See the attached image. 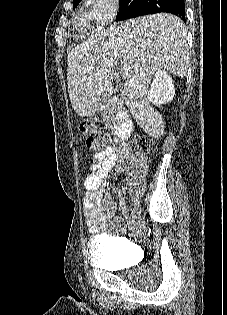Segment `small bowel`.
I'll list each match as a JSON object with an SVG mask.
<instances>
[{
  "instance_id": "obj_1",
  "label": "small bowel",
  "mask_w": 227,
  "mask_h": 315,
  "mask_svg": "<svg viewBox=\"0 0 227 315\" xmlns=\"http://www.w3.org/2000/svg\"><path fill=\"white\" fill-rule=\"evenodd\" d=\"M131 157L130 149L124 145L106 146L95 153L90 172L83 182L86 191L83 202L86 226L90 233H98L107 222L113 219L115 205L112 197L103 191L104 181L115 166L121 170ZM120 206L123 213L127 215L129 210L123 198H120ZM115 221L121 222L119 219ZM130 229L133 232H139L140 225L131 223Z\"/></svg>"
}]
</instances>
